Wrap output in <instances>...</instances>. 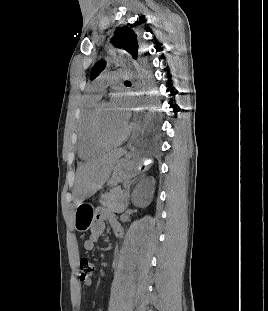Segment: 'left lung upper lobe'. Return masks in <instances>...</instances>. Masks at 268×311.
Masks as SVG:
<instances>
[{"label": "left lung upper lobe", "mask_w": 268, "mask_h": 311, "mask_svg": "<svg viewBox=\"0 0 268 311\" xmlns=\"http://www.w3.org/2000/svg\"><path fill=\"white\" fill-rule=\"evenodd\" d=\"M111 42L118 48H121L127 51L133 59L141 61V57L139 56V45L137 41L136 33L128 28L127 26L119 27L115 33ZM104 61H98L91 71L90 80H94L105 68Z\"/></svg>", "instance_id": "left-lung-upper-lobe-1"}]
</instances>
